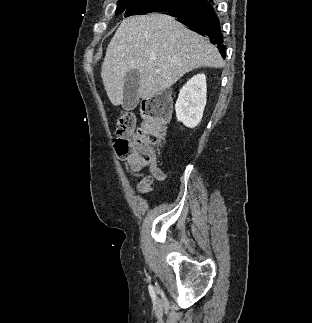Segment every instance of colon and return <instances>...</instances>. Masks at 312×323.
<instances>
[{
    "label": "colon",
    "mask_w": 312,
    "mask_h": 323,
    "mask_svg": "<svg viewBox=\"0 0 312 323\" xmlns=\"http://www.w3.org/2000/svg\"><path fill=\"white\" fill-rule=\"evenodd\" d=\"M165 93H157L151 98V107L141 125H136L132 111L119 115L115 122L117 158H129L133 170L156 166L155 149L164 141L167 118L161 108Z\"/></svg>",
    "instance_id": "colon-1"
}]
</instances>
